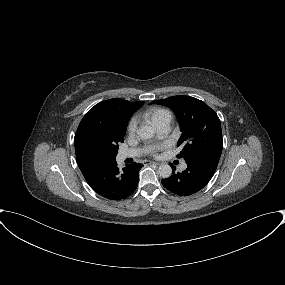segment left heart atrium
<instances>
[{
  "label": "left heart atrium",
  "instance_id": "1",
  "mask_svg": "<svg viewBox=\"0 0 285 285\" xmlns=\"http://www.w3.org/2000/svg\"><path fill=\"white\" fill-rule=\"evenodd\" d=\"M158 149H159L158 147L154 148V149L151 151V153H155Z\"/></svg>",
  "mask_w": 285,
  "mask_h": 285
}]
</instances>
